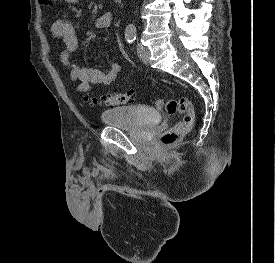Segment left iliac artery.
<instances>
[{"mask_svg":"<svg viewBox=\"0 0 275 263\" xmlns=\"http://www.w3.org/2000/svg\"><path fill=\"white\" fill-rule=\"evenodd\" d=\"M125 37L128 43H133L136 40V27L129 25L126 28Z\"/></svg>","mask_w":275,"mask_h":263,"instance_id":"left-iliac-artery-1","label":"left iliac artery"}]
</instances>
